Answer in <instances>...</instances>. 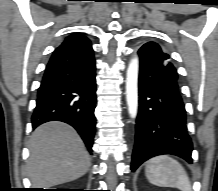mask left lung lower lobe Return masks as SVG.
<instances>
[{
	"label": "left lung lower lobe",
	"instance_id": "1",
	"mask_svg": "<svg viewBox=\"0 0 218 191\" xmlns=\"http://www.w3.org/2000/svg\"><path fill=\"white\" fill-rule=\"evenodd\" d=\"M138 54L139 109L131 170L161 154L177 155L192 163V142L178 76L171 68L154 65L141 50Z\"/></svg>",
	"mask_w": 218,
	"mask_h": 191
}]
</instances>
